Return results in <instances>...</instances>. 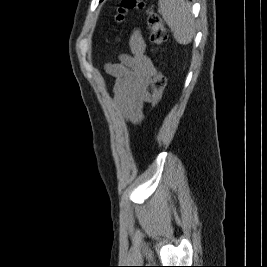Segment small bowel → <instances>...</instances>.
<instances>
[{
	"label": "small bowel",
	"instance_id": "1",
	"mask_svg": "<svg viewBox=\"0 0 267 267\" xmlns=\"http://www.w3.org/2000/svg\"><path fill=\"white\" fill-rule=\"evenodd\" d=\"M130 54L121 55L118 63H108L107 73L115 78L113 100L123 117L131 123L143 118L144 106L151 101L148 85L156 69L146 55V43L139 30L129 39Z\"/></svg>",
	"mask_w": 267,
	"mask_h": 267
}]
</instances>
